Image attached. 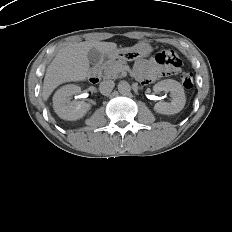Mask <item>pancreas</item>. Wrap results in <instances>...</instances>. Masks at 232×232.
<instances>
[{
  "label": "pancreas",
  "mask_w": 232,
  "mask_h": 232,
  "mask_svg": "<svg viewBox=\"0 0 232 232\" xmlns=\"http://www.w3.org/2000/svg\"><path fill=\"white\" fill-rule=\"evenodd\" d=\"M126 64L124 60H111L100 66L103 70V77L107 79H117L123 66Z\"/></svg>",
  "instance_id": "pancreas-1"
}]
</instances>
